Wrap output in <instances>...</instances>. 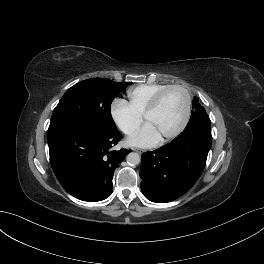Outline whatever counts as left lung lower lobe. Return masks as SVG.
I'll return each instance as SVG.
<instances>
[{
    "label": "left lung lower lobe",
    "mask_w": 264,
    "mask_h": 264,
    "mask_svg": "<svg viewBox=\"0 0 264 264\" xmlns=\"http://www.w3.org/2000/svg\"><path fill=\"white\" fill-rule=\"evenodd\" d=\"M211 126L200 109L171 143L141 156V191L152 202L173 201L200 177L211 148Z\"/></svg>",
    "instance_id": "1"
}]
</instances>
